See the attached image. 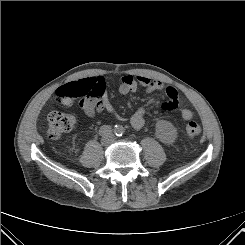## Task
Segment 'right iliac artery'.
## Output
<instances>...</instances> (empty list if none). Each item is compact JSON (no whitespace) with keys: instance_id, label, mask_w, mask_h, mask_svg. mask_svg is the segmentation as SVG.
<instances>
[{"instance_id":"82829eb1","label":"right iliac artery","mask_w":245,"mask_h":245,"mask_svg":"<svg viewBox=\"0 0 245 245\" xmlns=\"http://www.w3.org/2000/svg\"><path fill=\"white\" fill-rule=\"evenodd\" d=\"M112 128H111V126H109V125H103V126H101L100 127V129H99V134L101 135V136H109V135H111L112 134Z\"/></svg>"}]
</instances>
